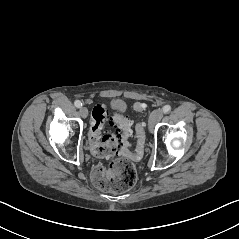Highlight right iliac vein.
<instances>
[{"label": "right iliac vein", "mask_w": 239, "mask_h": 239, "mask_svg": "<svg viewBox=\"0 0 239 239\" xmlns=\"http://www.w3.org/2000/svg\"><path fill=\"white\" fill-rule=\"evenodd\" d=\"M79 112H80L81 117H83V118H86L88 116V110L86 107H81Z\"/></svg>", "instance_id": "1"}]
</instances>
